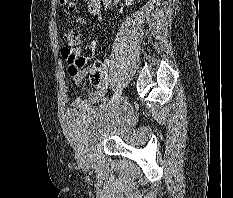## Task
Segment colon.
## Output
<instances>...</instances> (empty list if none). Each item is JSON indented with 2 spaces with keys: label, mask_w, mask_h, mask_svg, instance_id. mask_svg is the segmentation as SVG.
Segmentation results:
<instances>
[{
  "label": "colon",
  "mask_w": 233,
  "mask_h": 198,
  "mask_svg": "<svg viewBox=\"0 0 233 198\" xmlns=\"http://www.w3.org/2000/svg\"><path fill=\"white\" fill-rule=\"evenodd\" d=\"M61 2L67 7L69 11L74 10V3L72 0H61ZM64 40L67 43V47H74L77 46L80 43V34L75 29H69L64 32ZM91 80L93 83L98 84L101 80V72L99 69H96L91 74Z\"/></svg>",
  "instance_id": "5ec220e1"
}]
</instances>
